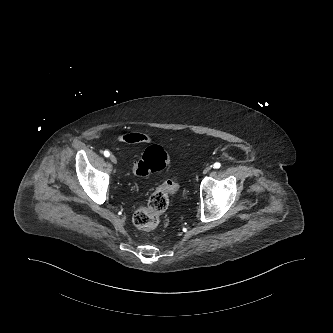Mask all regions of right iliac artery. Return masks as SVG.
Segmentation results:
<instances>
[{"label": "right iliac artery", "mask_w": 333, "mask_h": 333, "mask_svg": "<svg viewBox=\"0 0 333 333\" xmlns=\"http://www.w3.org/2000/svg\"><path fill=\"white\" fill-rule=\"evenodd\" d=\"M104 156H105V157H109V156H110V152L107 151V150H105V151H104Z\"/></svg>", "instance_id": "right-iliac-artery-1"}]
</instances>
